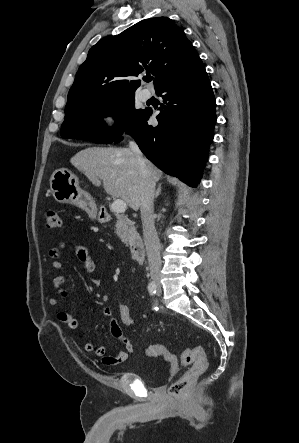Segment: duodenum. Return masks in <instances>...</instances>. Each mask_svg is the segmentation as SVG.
<instances>
[{
	"label": "duodenum",
	"instance_id": "410a0bca",
	"mask_svg": "<svg viewBox=\"0 0 299 443\" xmlns=\"http://www.w3.org/2000/svg\"><path fill=\"white\" fill-rule=\"evenodd\" d=\"M101 218L104 221L110 219V215L107 211L101 213ZM129 253L133 260L141 262L145 256L144 244L141 239H135L129 243Z\"/></svg>",
	"mask_w": 299,
	"mask_h": 443
}]
</instances>
